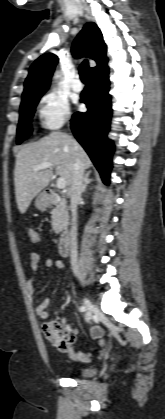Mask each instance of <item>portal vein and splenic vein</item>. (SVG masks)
Returning a JSON list of instances; mask_svg holds the SVG:
<instances>
[{
  "mask_svg": "<svg viewBox=\"0 0 165 419\" xmlns=\"http://www.w3.org/2000/svg\"><path fill=\"white\" fill-rule=\"evenodd\" d=\"M53 167V164L52 163H49V162H45V163H42V164H39V165H37V166H35L34 168H33V171L34 172H37V171H39V170H42V169H47V168H52ZM56 186H57V188L58 189H63V188H65V186H66V181H65V179L64 178H58L57 179V181H56Z\"/></svg>",
  "mask_w": 165,
  "mask_h": 419,
  "instance_id": "18ae733b",
  "label": "portal vein and splenic vein"
}]
</instances>
